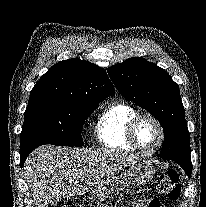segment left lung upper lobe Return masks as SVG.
Returning <instances> with one entry per match:
<instances>
[{
  "instance_id": "left-lung-upper-lobe-1",
  "label": "left lung upper lobe",
  "mask_w": 206,
  "mask_h": 207,
  "mask_svg": "<svg viewBox=\"0 0 206 207\" xmlns=\"http://www.w3.org/2000/svg\"><path fill=\"white\" fill-rule=\"evenodd\" d=\"M107 71L123 97L146 109L162 125L165 139L161 157L192 171L190 138L178 84L164 69L141 57L129 58Z\"/></svg>"
}]
</instances>
